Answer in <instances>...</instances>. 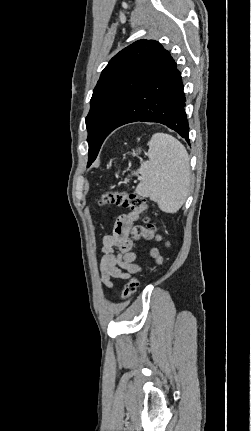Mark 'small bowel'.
I'll list each match as a JSON object with an SVG mask.
<instances>
[{
  "label": "small bowel",
  "mask_w": 251,
  "mask_h": 431,
  "mask_svg": "<svg viewBox=\"0 0 251 431\" xmlns=\"http://www.w3.org/2000/svg\"><path fill=\"white\" fill-rule=\"evenodd\" d=\"M139 214L129 212L120 215L114 225L113 233L103 236L101 240L102 259L100 263V278L107 287H112V278L127 279L138 272L140 267L135 263L137 254L133 252V243L136 240L156 239L162 240L158 235L152 234L145 227L137 225ZM168 246L169 243L166 242ZM152 257L158 264L163 259L156 248L151 250Z\"/></svg>",
  "instance_id": "1"
}]
</instances>
